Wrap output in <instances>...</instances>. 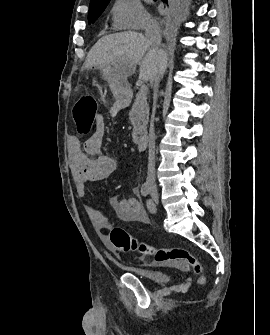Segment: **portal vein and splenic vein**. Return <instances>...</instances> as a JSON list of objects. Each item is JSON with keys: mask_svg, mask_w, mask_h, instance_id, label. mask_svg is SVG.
<instances>
[{"mask_svg": "<svg viewBox=\"0 0 270 335\" xmlns=\"http://www.w3.org/2000/svg\"><path fill=\"white\" fill-rule=\"evenodd\" d=\"M148 88L147 86H140V88L137 90V93L139 95H142L143 93H147ZM138 99H141V96H138Z\"/></svg>", "mask_w": 270, "mask_h": 335, "instance_id": "obj_1", "label": "portal vein and splenic vein"}]
</instances>
